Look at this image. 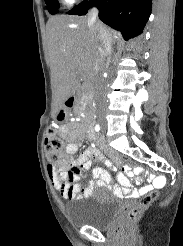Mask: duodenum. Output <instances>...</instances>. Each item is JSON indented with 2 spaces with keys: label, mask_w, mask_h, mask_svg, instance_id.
<instances>
[{
  "label": "duodenum",
  "mask_w": 183,
  "mask_h": 246,
  "mask_svg": "<svg viewBox=\"0 0 183 246\" xmlns=\"http://www.w3.org/2000/svg\"><path fill=\"white\" fill-rule=\"evenodd\" d=\"M66 105L68 107H70V109H77L78 108L77 109L78 113L82 112V109H81L82 105L81 104L77 105L76 98L73 96L67 100ZM90 139H91V141H96V143L99 144V148H102V151H109V146H106L105 140L103 139L102 136H96L95 133H92Z\"/></svg>",
  "instance_id": "duodenum-1"
}]
</instances>
